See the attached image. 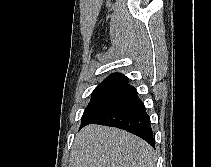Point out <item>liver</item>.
Masks as SVG:
<instances>
[{
	"mask_svg": "<svg viewBox=\"0 0 211 167\" xmlns=\"http://www.w3.org/2000/svg\"><path fill=\"white\" fill-rule=\"evenodd\" d=\"M153 148L124 130L88 125L77 133L69 167H155Z\"/></svg>",
	"mask_w": 211,
	"mask_h": 167,
	"instance_id": "6515ba94",
	"label": "liver"
}]
</instances>
